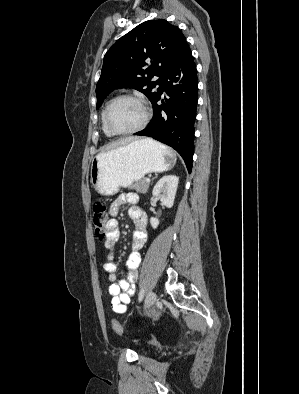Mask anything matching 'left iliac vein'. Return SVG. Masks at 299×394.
I'll return each mask as SVG.
<instances>
[{"mask_svg": "<svg viewBox=\"0 0 299 394\" xmlns=\"http://www.w3.org/2000/svg\"><path fill=\"white\" fill-rule=\"evenodd\" d=\"M156 300L157 295L153 291H150L145 299L144 311H148L155 304Z\"/></svg>", "mask_w": 299, "mask_h": 394, "instance_id": "4c4485c4", "label": "left iliac vein"}]
</instances>
